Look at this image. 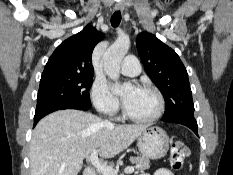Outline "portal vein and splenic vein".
Segmentation results:
<instances>
[{
	"mask_svg": "<svg viewBox=\"0 0 233 175\" xmlns=\"http://www.w3.org/2000/svg\"><path fill=\"white\" fill-rule=\"evenodd\" d=\"M90 161L92 165L99 171L102 175H117L118 170L114 169L111 166H108L107 164L102 163L98 158V151L93 150L90 155ZM124 172L127 174H131L134 172V167L129 166L124 169Z\"/></svg>",
	"mask_w": 233,
	"mask_h": 175,
	"instance_id": "18ae733b",
	"label": "portal vein and splenic vein"
}]
</instances>
